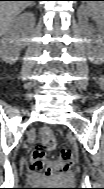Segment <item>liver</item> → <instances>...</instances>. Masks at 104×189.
<instances>
[{
  "label": "liver",
  "mask_w": 104,
  "mask_h": 189,
  "mask_svg": "<svg viewBox=\"0 0 104 189\" xmlns=\"http://www.w3.org/2000/svg\"><path fill=\"white\" fill-rule=\"evenodd\" d=\"M30 1H1L0 2V33L4 35L10 28L12 21L27 6Z\"/></svg>",
  "instance_id": "obj_1"
}]
</instances>
